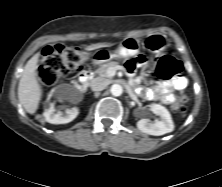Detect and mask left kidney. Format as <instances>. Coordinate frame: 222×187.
<instances>
[{
	"instance_id": "1",
	"label": "left kidney",
	"mask_w": 222,
	"mask_h": 187,
	"mask_svg": "<svg viewBox=\"0 0 222 187\" xmlns=\"http://www.w3.org/2000/svg\"><path fill=\"white\" fill-rule=\"evenodd\" d=\"M150 110L160 117L154 122L149 119H141L137 122L138 129L146 134L161 136L174 130V123L172 121L169 111L162 105L151 104Z\"/></svg>"
}]
</instances>
